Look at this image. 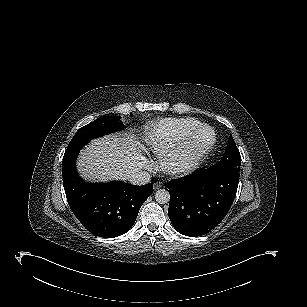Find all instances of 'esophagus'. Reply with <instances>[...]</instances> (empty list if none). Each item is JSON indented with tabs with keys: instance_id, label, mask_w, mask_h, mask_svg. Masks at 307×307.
Returning <instances> with one entry per match:
<instances>
[{
	"instance_id": "1",
	"label": "esophagus",
	"mask_w": 307,
	"mask_h": 307,
	"mask_svg": "<svg viewBox=\"0 0 307 307\" xmlns=\"http://www.w3.org/2000/svg\"><path fill=\"white\" fill-rule=\"evenodd\" d=\"M162 187V183L161 182H156V183H154V185H153V189L154 190H157V189H159V188H161Z\"/></svg>"
}]
</instances>
